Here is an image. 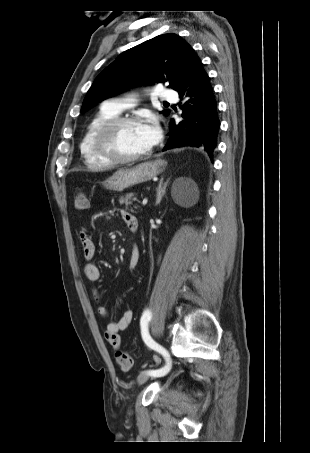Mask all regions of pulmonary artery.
<instances>
[{
    "label": "pulmonary artery",
    "instance_id": "1",
    "mask_svg": "<svg viewBox=\"0 0 310 453\" xmlns=\"http://www.w3.org/2000/svg\"><path fill=\"white\" fill-rule=\"evenodd\" d=\"M158 90L159 96L162 100L174 101L177 99V94L173 90H168L162 87L159 88ZM131 101L132 99H116L106 102L104 106L114 111L115 113H120L131 105L130 104Z\"/></svg>",
    "mask_w": 310,
    "mask_h": 453
}]
</instances>
